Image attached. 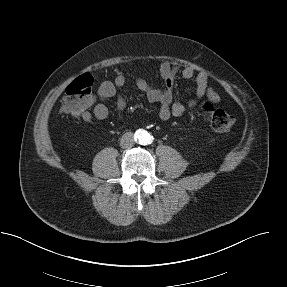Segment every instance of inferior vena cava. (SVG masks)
<instances>
[{
  "mask_svg": "<svg viewBox=\"0 0 287 287\" xmlns=\"http://www.w3.org/2000/svg\"><path fill=\"white\" fill-rule=\"evenodd\" d=\"M134 145V139H133V134L131 132L125 133L121 140H120V146L122 148H129Z\"/></svg>",
  "mask_w": 287,
  "mask_h": 287,
  "instance_id": "obj_1",
  "label": "inferior vena cava"
}]
</instances>
